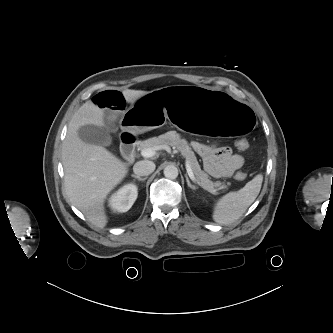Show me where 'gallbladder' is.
Returning a JSON list of instances; mask_svg holds the SVG:
<instances>
[{"instance_id":"1","label":"gallbladder","mask_w":333,"mask_h":333,"mask_svg":"<svg viewBox=\"0 0 333 333\" xmlns=\"http://www.w3.org/2000/svg\"><path fill=\"white\" fill-rule=\"evenodd\" d=\"M78 135L84 142L93 145L109 146L112 143V138L108 131L95 125H85L80 127Z\"/></svg>"}]
</instances>
